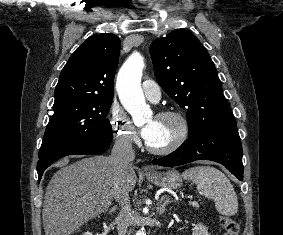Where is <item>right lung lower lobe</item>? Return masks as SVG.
Instances as JSON below:
<instances>
[{"mask_svg": "<svg viewBox=\"0 0 283 235\" xmlns=\"http://www.w3.org/2000/svg\"><path fill=\"white\" fill-rule=\"evenodd\" d=\"M112 141V134L93 137L91 139H81L60 146L42 158H39L37 163V172L39 180L43 175L44 170L56 160L75 154L83 155H98L108 149Z\"/></svg>", "mask_w": 283, "mask_h": 235, "instance_id": "1", "label": "right lung lower lobe"}]
</instances>
